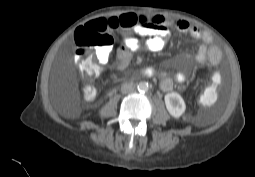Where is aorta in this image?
<instances>
[{"label":"aorta","instance_id":"aorta-1","mask_svg":"<svg viewBox=\"0 0 255 177\" xmlns=\"http://www.w3.org/2000/svg\"><path fill=\"white\" fill-rule=\"evenodd\" d=\"M137 88H138V91H140V92H146V91H148L149 86H148V83H146V82H140L137 85Z\"/></svg>","mask_w":255,"mask_h":177}]
</instances>
